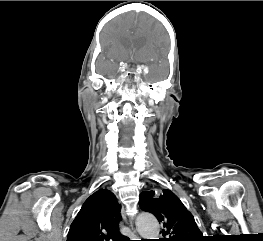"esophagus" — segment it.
I'll return each mask as SVG.
<instances>
[{
    "label": "esophagus",
    "mask_w": 263,
    "mask_h": 241,
    "mask_svg": "<svg viewBox=\"0 0 263 241\" xmlns=\"http://www.w3.org/2000/svg\"><path fill=\"white\" fill-rule=\"evenodd\" d=\"M133 240H134V241H142L141 238H140L138 235H135V236L133 237Z\"/></svg>",
    "instance_id": "34e87169"
}]
</instances>
